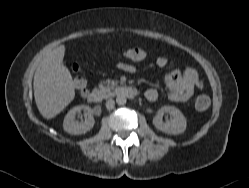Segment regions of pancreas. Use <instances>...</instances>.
<instances>
[{
	"mask_svg": "<svg viewBox=\"0 0 249 188\" xmlns=\"http://www.w3.org/2000/svg\"><path fill=\"white\" fill-rule=\"evenodd\" d=\"M117 84H118L117 81H113V80L108 79L104 82H101L99 84V88L102 92H104L108 95H112V92L114 91Z\"/></svg>",
	"mask_w": 249,
	"mask_h": 188,
	"instance_id": "cf45deb5",
	"label": "pancreas"
}]
</instances>
